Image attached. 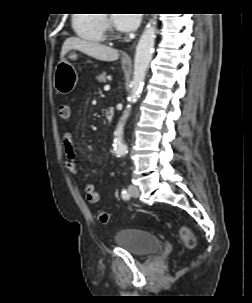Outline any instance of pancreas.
Here are the masks:
<instances>
[{
    "mask_svg": "<svg viewBox=\"0 0 252 303\" xmlns=\"http://www.w3.org/2000/svg\"><path fill=\"white\" fill-rule=\"evenodd\" d=\"M96 80L99 82H105L106 81V73H101L96 77Z\"/></svg>",
    "mask_w": 252,
    "mask_h": 303,
    "instance_id": "obj_1",
    "label": "pancreas"
}]
</instances>
